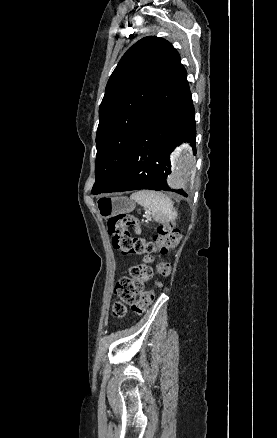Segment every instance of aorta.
I'll use <instances>...</instances> for the list:
<instances>
[{
    "instance_id": "obj_1",
    "label": "aorta",
    "mask_w": 277,
    "mask_h": 438,
    "mask_svg": "<svg viewBox=\"0 0 277 438\" xmlns=\"http://www.w3.org/2000/svg\"><path fill=\"white\" fill-rule=\"evenodd\" d=\"M196 173V158L188 144L178 148L172 160V175L168 183L173 187L188 188Z\"/></svg>"
}]
</instances>
